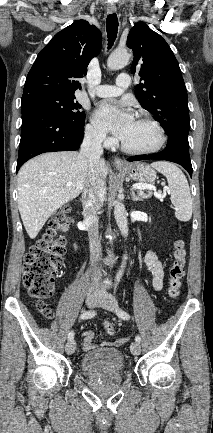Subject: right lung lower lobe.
I'll return each instance as SVG.
<instances>
[{
  "instance_id": "obj_1",
  "label": "right lung lower lobe",
  "mask_w": 213,
  "mask_h": 433,
  "mask_svg": "<svg viewBox=\"0 0 213 433\" xmlns=\"http://www.w3.org/2000/svg\"><path fill=\"white\" fill-rule=\"evenodd\" d=\"M84 126L76 127L50 111L22 108V128L16 172L22 164L41 153L79 149Z\"/></svg>"
}]
</instances>
